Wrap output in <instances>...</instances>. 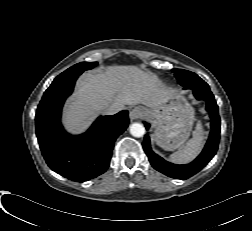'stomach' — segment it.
Listing matches in <instances>:
<instances>
[{
	"mask_svg": "<svg viewBox=\"0 0 252 231\" xmlns=\"http://www.w3.org/2000/svg\"><path fill=\"white\" fill-rule=\"evenodd\" d=\"M144 116L155 126V142L169 151L185 143L194 122V110L183 96L170 97L159 108H145Z\"/></svg>",
	"mask_w": 252,
	"mask_h": 231,
	"instance_id": "stomach-1",
	"label": "stomach"
}]
</instances>
